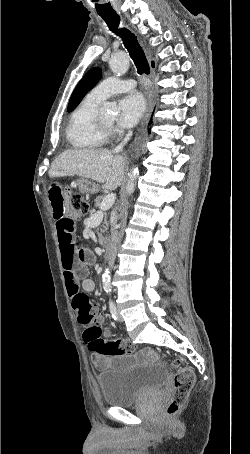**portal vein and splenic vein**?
Instances as JSON below:
<instances>
[{
  "instance_id": "1",
  "label": "portal vein and splenic vein",
  "mask_w": 250,
  "mask_h": 454,
  "mask_svg": "<svg viewBox=\"0 0 250 454\" xmlns=\"http://www.w3.org/2000/svg\"><path fill=\"white\" fill-rule=\"evenodd\" d=\"M115 198H116L115 194H113V193L106 195L103 198V200L100 204V207H99V211L97 213H102L104 211L109 210L113 206V204L115 202Z\"/></svg>"
}]
</instances>
